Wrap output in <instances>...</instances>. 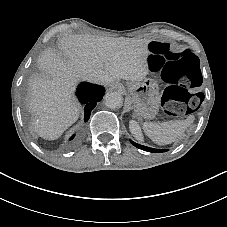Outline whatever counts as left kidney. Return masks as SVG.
<instances>
[{
	"label": "left kidney",
	"mask_w": 227,
	"mask_h": 227,
	"mask_svg": "<svg viewBox=\"0 0 227 227\" xmlns=\"http://www.w3.org/2000/svg\"><path fill=\"white\" fill-rule=\"evenodd\" d=\"M130 131L138 140L142 139L140 127L135 121H131Z\"/></svg>",
	"instance_id": "obj_1"
}]
</instances>
